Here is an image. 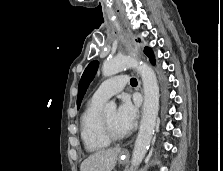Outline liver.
<instances>
[{
    "label": "liver",
    "instance_id": "liver-1",
    "mask_svg": "<svg viewBox=\"0 0 223 171\" xmlns=\"http://www.w3.org/2000/svg\"><path fill=\"white\" fill-rule=\"evenodd\" d=\"M119 152L120 148L97 151L82 162L80 171H111L116 165Z\"/></svg>",
    "mask_w": 223,
    "mask_h": 171
}]
</instances>
